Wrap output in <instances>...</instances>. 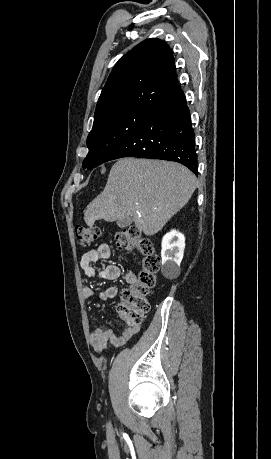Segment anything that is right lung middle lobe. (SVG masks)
<instances>
[{
    "label": "right lung middle lobe",
    "mask_w": 271,
    "mask_h": 459,
    "mask_svg": "<svg viewBox=\"0 0 271 459\" xmlns=\"http://www.w3.org/2000/svg\"><path fill=\"white\" fill-rule=\"evenodd\" d=\"M154 114L155 111L148 108L136 107L94 119L83 168L92 169L106 162L109 155Z\"/></svg>",
    "instance_id": "1"
}]
</instances>
